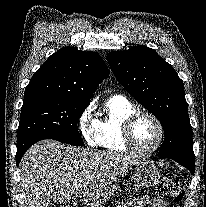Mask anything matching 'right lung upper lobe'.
<instances>
[{
	"label": "right lung upper lobe",
	"instance_id": "right-lung-upper-lobe-1",
	"mask_svg": "<svg viewBox=\"0 0 206 207\" xmlns=\"http://www.w3.org/2000/svg\"><path fill=\"white\" fill-rule=\"evenodd\" d=\"M109 75L99 54L64 47L50 56L31 78L24 101L54 97L90 103L98 84Z\"/></svg>",
	"mask_w": 206,
	"mask_h": 207
}]
</instances>
